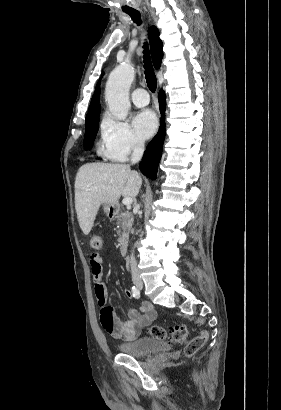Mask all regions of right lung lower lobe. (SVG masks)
<instances>
[{"label":"right lung lower lobe","instance_id":"right-lung-lower-lobe-1","mask_svg":"<svg viewBox=\"0 0 281 410\" xmlns=\"http://www.w3.org/2000/svg\"><path fill=\"white\" fill-rule=\"evenodd\" d=\"M159 107L161 113L160 128L157 135L148 144L139 168L150 179H156L158 164L162 155L163 142L165 139V94L161 90L159 95Z\"/></svg>","mask_w":281,"mask_h":410}]
</instances>
